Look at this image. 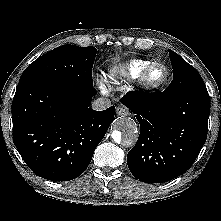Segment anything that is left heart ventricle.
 <instances>
[{
  "label": "left heart ventricle",
  "mask_w": 221,
  "mask_h": 221,
  "mask_svg": "<svg viewBox=\"0 0 221 221\" xmlns=\"http://www.w3.org/2000/svg\"><path fill=\"white\" fill-rule=\"evenodd\" d=\"M164 74H165L164 69L162 67L158 66L150 72L149 79L151 81L156 82V81L161 80L163 78Z\"/></svg>",
  "instance_id": "b2bd125f"
}]
</instances>
